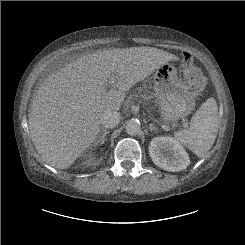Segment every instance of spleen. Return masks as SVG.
<instances>
[{"label":"spleen","instance_id":"3e777b00","mask_svg":"<svg viewBox=\"0 0 245 245\" xmlns=\"http://www.w3.org/2000/svg\"><path fill=\"white\" fill-rule=\"evenodd\" d=\"M218 132V107L214 98H208L192 116L190 127L174 133L181 145L204 156L213 146Z\"/></svg>","mask_w":245,"mask_h":245}]
</instances>
